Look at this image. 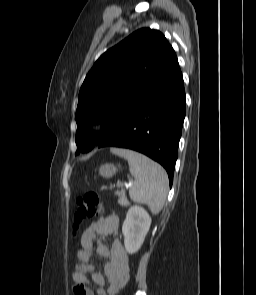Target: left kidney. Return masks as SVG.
I'll return each mask as SVG.
<instances>
[{"mask_svg":"<svg viewBox=\"0 0 256 295\" xmlns=\"http://www.w3.org/2000/svg\"><path fill=\"white\" fill-rule=\"evenodd\" d=\"M151 225V217L140 206L131 207L122 226L125 250L136 253L142 246Z\"/></svg>","mask_w":256,"mask_h":295,"instance_id":"left-kidney-1","label":"left kidney"}]
</instances>
